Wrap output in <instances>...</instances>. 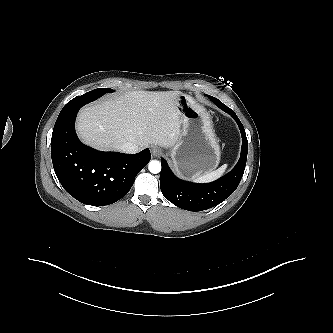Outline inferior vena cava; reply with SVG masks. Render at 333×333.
<instances>
[{"label":"inferior vena cava","instance_id":"obj_1","mask_svg":"<svg viewBox=\"0 0 333 333\" xmlns=\"http://www.w3.org/2000/svg\"><path fill=\"white\" fill-rule=\"evenodd\" d=\"M120 150L123 153L134 154L139 151V147L134 143L126 142L121 145Z\"/></svg>","mask_w":333,"mask_h":333}]
</instances>
